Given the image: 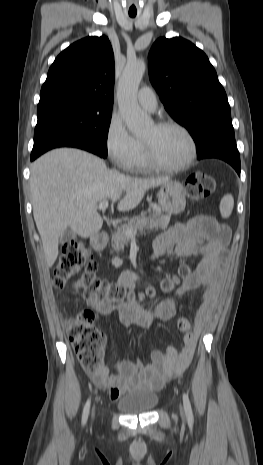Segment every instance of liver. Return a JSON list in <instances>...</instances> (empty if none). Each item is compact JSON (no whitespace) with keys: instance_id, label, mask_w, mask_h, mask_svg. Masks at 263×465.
Segmentation results:
<instances>
[{"instance_id":"obj_1","label":"liver","mask_w":263,"mask_h":465,"mask_svg":"<svg viewBox=\"0 0 263 465\" xmlns=\"http://www.w3.org/2000/svg\"><path fill=\"white\" fill-rule=\"evenodd\" d=\"M169 182L125 176L78 149L60 148L41 156L31 166L30 190L47 266L55 263L59 238L68 227L85 238L98 234L103 225L98 203L111 198L113 204L118 201L119 211L132 210L150 188Z\"/></svg>"}]
</instances>
